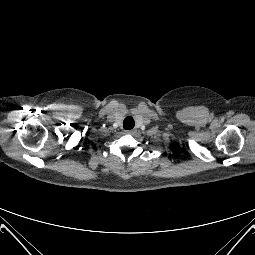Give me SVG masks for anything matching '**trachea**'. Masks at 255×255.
Instances as JSON below:
<instances>
[{
	"instance_id": "3493384b",
	"label": "trachea",
	"mask_w": 255,
	"mask_h": 255,
	"mask_svg": "<svg viewBox=\"0 0 255 255\" xmlns=\"http://www.w3.org/2000/svg\"><path fill=\"white\" fill-rule=\"evenodd\" d=\"M135 125V121L131 116H127L123 121L124 129H132Z\"/></svg>"
}]
</instances>
